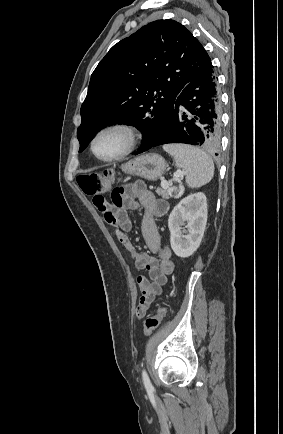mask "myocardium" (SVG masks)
<instances>
[{
	"instance_id": "myocardium-1",
	"label": "myocardium",
	"mask_w": 283,
	"mask_h": 434,
	"mask_svg": "<svg viewBox=\"0 0 283 434\" xmlns=\"http://www.w3.org/2000/svg\"><path fill=\"white\" fill-rule=\"evenodd\" d=\"M108 132L120 133L124 138V147L122 151L119 152L118 154L110 157H104L97 154L95 150V144L103 134ZM139 139H140V133L136 128V126L128 122L117 121V122L106 124L101 128H99L92 136L89 147L91 153L98 160L102 162H114L123 159L124 157L129 155L137 147Z\"/></svg>"
}]
</instances>
